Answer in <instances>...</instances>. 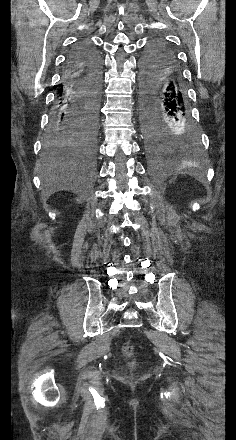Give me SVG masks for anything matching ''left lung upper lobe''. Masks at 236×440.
<instances>
[{"instance_id": "5c2ea615", "label": "left lung upper lobe", "mask_w": 236, "mask_h": 440, "mask_svg": "<svg viewBox=\"0 0 236 440\" xmlns=\"http://www.w3.org/2000/svg\"><path fill=\"white\" fill-rule=\"evenodd\" d=\"M165 52H173L169 45L163 40H156L152 42L146 52L144 53L141 63H152ZM175 55V54H174Z\"/></svg>"}]
</instances>
